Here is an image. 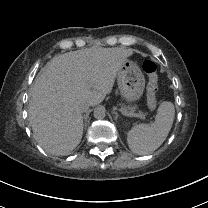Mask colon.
Listing matches in <instances>:
<instances>
[{
    "mask_svg": "<svg viewBox=\"0 0 208 208\" xmlns=\"http://www.w3.org/2000/svg\"><path fill=\"white\" fill-rule=\"evenodd\" d=\"M142 68L147 76V104L150 109H154L156 106V92L158 82L157 65L152 59H145L142 64Z\"/></svg>",
    "mask_w": 208,
    "mask_h": 208,
    "instance_id": "1",
    "label": "colon"
}]
</instances>
